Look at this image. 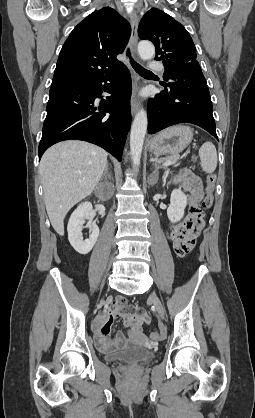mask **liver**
I'll return each instance as SVG.
<instances>
[{
	"mask_svg": "<svg viewBox=\"0 0 255 418\" xmlns=\"http://www.w3.org/2000/svg\"><path fill=\"white\" fill-rule=\"evenodd\" d=\"M107 152L84 141H64L43 155L39 172L44 201L54 230L64 235V218L97 186L107 165Z\"/></svg>",
	"mask_w": 255,
	"mask_h": 418,
	"instance_id": "liver-1",
	"label": "liver"
}]
</instances>
